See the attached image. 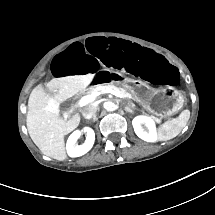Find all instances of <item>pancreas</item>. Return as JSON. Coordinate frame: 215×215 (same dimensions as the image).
Here are the masks:
<instances>
[{"instance_id": "pancreas-1", "label": "pancreas", "mask_w": 215, "mask_h": 215, "mask_svg": "<svg viewBox=\"0 0 215 215\" xmlns=\"http://www.w3.org/2000/svg\"><path fill=\"white\" fill-rule=\"evenodd\" d=\"M105 85H107V86H108V85L113 86L114 89L120 91V92L123 93V94L127 93V91H126L125 89H123V88H121V87H117V86H115V85H113V84H99V85H95V86L90 87V88L87 90L86 93H87L88 95H91V94H93V93H100V94H102V87L105 86ZM128 103H129L130 105L134 106V104L132 103L131 100H128ZM152 117H153L158 123L161 122V120H160L159 118H156V117H154V116H152Z\"/></svg>"}]
</instances>
